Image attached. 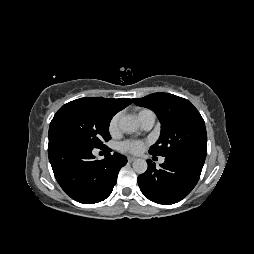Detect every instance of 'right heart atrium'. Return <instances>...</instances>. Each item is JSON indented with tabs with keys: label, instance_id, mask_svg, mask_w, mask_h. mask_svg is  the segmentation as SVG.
I'll list each match as a JSON object with an SVG mask.
<instances>
[{
	"label": "right heart atrium",
	"instance_id": "d8ad5b80",
	"mask_svg": "<svg viewBox=\"0 0 254 254\" xmlns=\"http://www.w3.org/2000/svg\"><path fill=\"white\" fill-rule=\"evenodd\" d=\"M120 114H115L109 121L108 131L111 135H116L119 129Z\"/></svg>",
	"mask_w": 254,
	"mask_h": 254
}]
</instances>
